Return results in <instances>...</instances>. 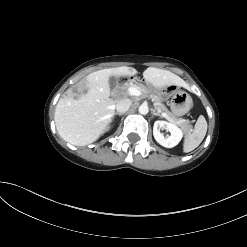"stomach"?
<instances>
[{"mask_svg":"<svg viewBox=\"0 0 247 247\" xmlns=\"http://www.w3.org/2000/svg\"><path fill=\"white\" fill-rule=\"evenodd\" d=\"M170 90L171 100L170 109L174 116H183L190 111L193 106L191 96L181 90L178 86H168Z\"/></svg>","mask_w":247,"mask_h":247,"instance_id":"stomach-1","label":"stomach"}]
</instances>
